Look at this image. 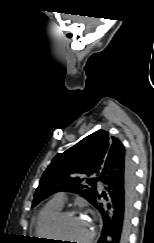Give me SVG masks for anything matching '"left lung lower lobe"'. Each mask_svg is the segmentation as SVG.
<instances>
[{
	"instance_id": "1",
	"label": "left lung lower lobe",
	"mask_w": 154,
	"mask_h": 243,
	"mask_svg": "<svg viewBox=\"0 0 154 243\" xmlns=\"http://www.w3.org/2000/svg\"><path fill=\"white\" fill-rule=\"evenodd\" d=\"M106 191L92 205L99 210L103 228L98 243H128L135 198V172L129 155L120 148L109 154L99 174Z\"/></svg>"
}]
</instances>
